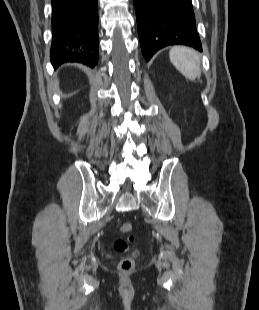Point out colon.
I'll list each match as a JSON object with an SVG mask.
<instances>
[{"label": "colon", "instance_id": "1", "mask_svg": "<svg viewBox=\"0 0 259 310\" xmlns=\"http://www.w3.org/2000/svg\"><path fill=\"white\" fill-rule=\"evenodd\" d=\"M131 223H122L119 227L122 233H130L132 231ZM133 240V238H130ZM114 250L117 253L126 254L119 262V268L123 271H130L134 268L136 260L139 256V251L130 250L127 242L124 239L118 238L113 244Z\"/></svg>", "mask_w": 259, "mask_h": 310}]
</instances>
